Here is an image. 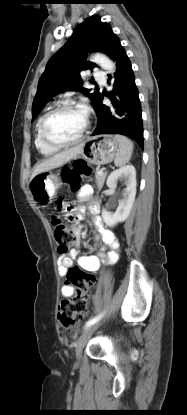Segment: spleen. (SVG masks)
<instances>
[{
  "label": "spleen",
  "instance_id": "spleen-1",
  "mask_svg": "<svg viewBox=\"0 0 187 415\" xmlns=\"http://www.w3.org/2000/svg\"><path fill=\"white\" fill-rule=\"evenodd\" d=\"M115 139L118 142L119 149L114 159V164L117 167H121L130 161L134 144L131 140L122 135H115Z\"/></svg>",
  "mask_w": 187,
  "mask_h": 415
}]
</instances>
